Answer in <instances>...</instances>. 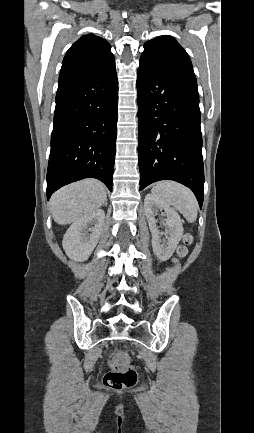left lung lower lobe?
<instances>
[{"label": "left lung lower lobe", "mask_w": 254, "mask_h": 433, "mask_svg": "<svg viewBox=\"0 0 254 433\" xmlns=\"http://www.w3.org/2000/svg\"><path fill=\"white\" fill-rule=\"evenodd\" d=\"M140 190L159 180L204 197L197 82L141 60L137 78Z\"/></svg>", "instance_id": "left-lung-lower-lobe-1"}]
</instances>
